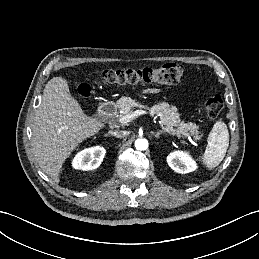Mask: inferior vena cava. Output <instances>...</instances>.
Returning a JSON list of instances; mask_svg holds the SVG:
<instances>
[{
  "instance_id": "1",
  "label": "inferior vena cava",
  "mask_w": 259,
  "mask_h": 259,
  "mask_svg": "<svg viewBox=\"0 0 259 259\" xmlns=\"http://www.w3.org/2000/svg\"><path fill=\"white\" fill-rule=\"evenodd\" d=\"M109 134H111L117 138H122V137H125L126 132L125 131H109Z\"/></svg>"
}]
</instances>
